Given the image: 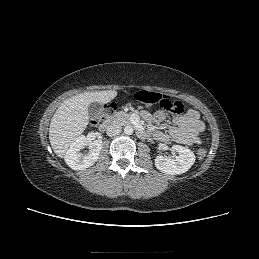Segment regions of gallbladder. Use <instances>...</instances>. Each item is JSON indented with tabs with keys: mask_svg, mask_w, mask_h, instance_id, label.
I'll use <instances>...</instances> for the list:
<instances>
[{
	"mask_svg": "<svg viewBox=\"0 0 259 259\" xmlns=\"http://www.w3.org/2000/svg\"><path fill=\"white\" fill-rule=\"evenodd\" d=\"M102 112V106L98 102H93L88 107V115L92 119H97Z\"/></svg>",
	"mask_w": 259,
	"mask_h": 259,
	"instance_id": "gallbladder-1",
	"label": "gallbladder"
}]
</instances>
